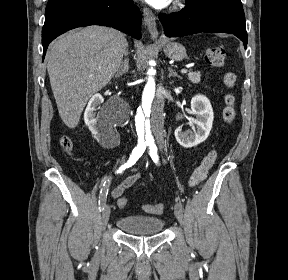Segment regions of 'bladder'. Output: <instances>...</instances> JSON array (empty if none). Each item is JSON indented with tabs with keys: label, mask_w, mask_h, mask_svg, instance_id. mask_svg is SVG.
Returning <instances> with one entry per match:
<instances>
[{
	"label": "bladder",
	"mask_w": 288,
	"mask_h": 280,
	"mask_svg": "<svg viewBox=\"0 0 288 280\" xmlns=\"http://www.w3.org/2000/svg\"><path fill=\"white\" fill-rule=\"evenodd\" d=\"M116 224L127 234H156L164 228V221L160 217L144 215L123 216Z\"/></svg>",
	"instance_id": "1"
}]
</instances>
